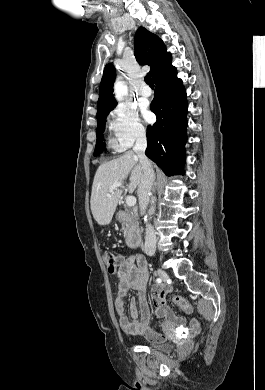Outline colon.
Instances as JSON below:
<instances>
[{
	"mask_svg": "<svg viewBox=\"0 0 265 390\" xmlns=\"http://www.w3.org/2000/svg\"><path fill=\"white\" fill-rule=\"evenodd\" d=\"M102 259L105 264L106 270L109 274H114L116 272L118 266V260L116 256L109 250H105L102 253ZM173 302L180 309H182L186 313H190L192 311L191 304L182 296L175 295L173 296Z\"/></svg>",
	"mask_w": 265,
	"mask_h": 390,
	"instance_id": "colon-1",
	"label": "colon"
}]
</instances>
